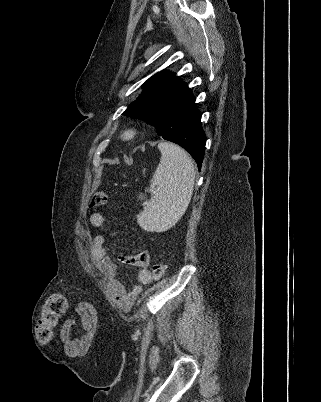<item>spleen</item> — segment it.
<instances>
[{"label":"spleen","instance_id":"1","mask_svg":"<svg viewBox=\"0 0 321 402\" xmlns=\"http://www.w3.org/2000/svg\"><path fill=\"white\" fill-rule=\"evenodd\" d=\"M158 149L160 163L147 190L154 196L137 215L139 226L151 232L170 228L184 214L192 198L195 179L193 162L182 148L161 142Z\"/></svg>","mask_w":321,"mask_h":402}]
</instances>
